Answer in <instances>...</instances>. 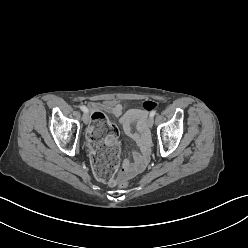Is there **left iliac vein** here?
<instances>
[{
  "mask_svg": "<svg viewBox=\"0 0 248 248\" xmlns=\"http://www.w3.org/2000/svg\"><path fill=\"white\" fill-rule=\"evenodd\" d=\"M154 120L152 117H149L147 120V125L149 128H151L153 126Z\"/></svg>",
  "mask_w": 248,
  "mask_h": 248,
  "instance_id": "left-iliac-vein-1",
  "label": "left iliac vein"
}]
</instances>
